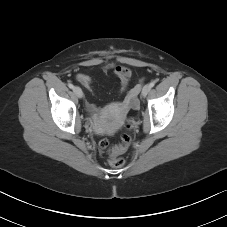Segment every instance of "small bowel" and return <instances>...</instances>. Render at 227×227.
<instances>
[{"mask_svg": "<svg viewBox=\"0 0 227 227\" xmlns=\"http://www.w3.org/2000/svg\"><path fill=\"white\" fill-rule=\"evenodd\" d=\"M114 73L120 80L121 90L125 91L131 81L132 71L125 66L118 65L114 67ZM76 79L86 88H92V80L88 75L80 73L76 76Z\"/></svg>", "mask_w": 227, "mask_h": 227, "instance_id": "obj_1", "label": "small bowel"}]
</instances>
